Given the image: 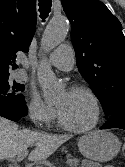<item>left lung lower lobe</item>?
<instances>
[{
  "instance_id": "left-lung-lower-lobe-1",
  "label": "left lung lower lobe",
  "mask_w": 125,
  "mask_h": 167,
  "mask_svg": "<svg viewBox=\"0 0 125 167\" xmlns=\"http://www.w3.org/2000/svg\"><path fill=\"white\" fill-rule=\"evenodd\" d=\"M120 128L125 130V110L116 111L107 118L100 129Z\"/></svg>"
}]
</instances>
